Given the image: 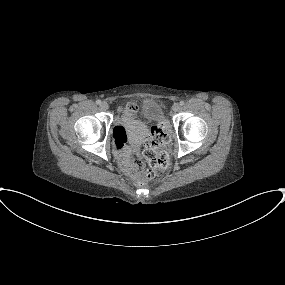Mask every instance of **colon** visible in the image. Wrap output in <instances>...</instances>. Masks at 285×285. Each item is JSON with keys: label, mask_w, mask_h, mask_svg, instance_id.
<instances>
[{"label": "colon", "mask_w": 285, "mask_h": 285, "mask_svg": "<svg viewBox=\"0 0 285 285\" xmlns=\"http://www.w3.org/2000/svg\"><path fill=\"white\" fill-rule=\"evenodd\" d=\"M125 112L128 115H133L137 112V105L134 103L127 104ZM119 142L122 145L126 144L124 135L119 137ZM169 142L170 138L164 123L151 129L143 150V156L148 161L150 169H146L141 161H136L132 164V169L136 173L134 182L137 186H142L151 180L155 176V170H165L168 167L169 156L166 152L160 151L159 148L160 146L168 145Z\"/></svg>", "instance_id": "colon-1"}]
</instances>
